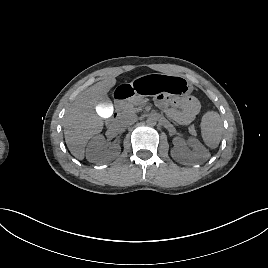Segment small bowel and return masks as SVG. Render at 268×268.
<instances>
[{
  "label": "small bowel",
  "mask_w": 268,
  "mask_h": 268,
  "mask_svg": "<svg viewBox=\"0 0 268 268\" xmlns=\"http://www.w3.org/2000/svg\"><path fill=\"white\" fill-rule=\"evenodd\" d=\"M157 105L180 125H189L200 110V103L193 96L183 98L159 96Z\"/></svg>",
  "instance_id": "1"
}]
</instances>
